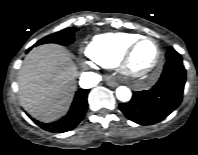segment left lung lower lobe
Wrapping results in <instances>:
<instances>
[{"label": "left lung lower lobe", "mask_w": 198, "mask_h": 155, "mask_svg": "<svg viewBox=\"0 0 198 155\" xmlns=\"http://www.w3.org/2000/svg\"><path fill=\"white\" fill-rule=\"evenodd\" d=\"M186 80L182 61H167L157 84L150 90L135 92L132 99L119 105L123 114L141 125L160 122L181 103Z\"/></svg>", "instance_id": "left-lung-lower-lobe-1"}]
</instances>
